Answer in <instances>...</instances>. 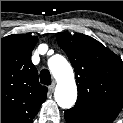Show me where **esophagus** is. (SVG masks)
<instances>
[{"mask_svg":"<svg viewBox=\"0 0 123 123\" xmlns=\"http://www.w3.org/2000/svg\"><path fill=\"white\" fill-rule=\"evenodd\" d=\"M48 88L50 92H53L55 89V81H53L52 84Z\"/></svg>","mask_w":123,"mask_h":123,"instance_id":"1","label":"esophagus"}]
</instances>
